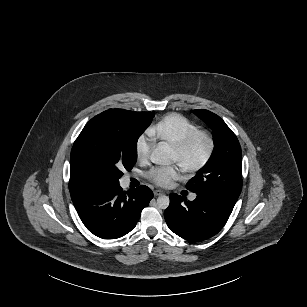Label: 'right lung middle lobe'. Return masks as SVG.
<instances>
[{
	"label": "right lung middle lobe",
	"instance_id": "dd1d6c3e",
	"mask_svg": "<svg viewBox=\"0 0 307 307\" xmlns=\"http://www.w3.org/2000/svg\"><path fill=\"white\" fill-rule=\"evenodd\" d=\"M151 121L123 109L92 118L72 147L70 179L85 185L119 183L120 169L131 170L136 163L137 139Z\"/></svg>",
	"mask_w": 307,
	"mask_h": 307
}]
</instances>
